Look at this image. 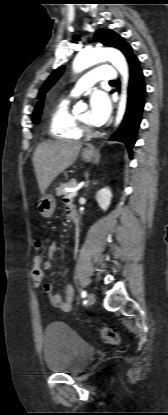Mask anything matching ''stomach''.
Wrapping results in <instances>:
<instances>
[{
  "label": "stomach",
  "instance_id": "0dacf381",
  "mask_svg": "<svg viewBox=\"0 0 168 415\" xmlns=\"http://www.w3.org/2000/svg\"><path fill=\"white\" fill-rule=\"evenodd\" d=\"M98 155V152L93 147L85 148L81 157L85 162L93 161ZM56 202L51 194L44 193L38 202V211L43 217H51L54 213Z\"/></svg>",
  "mask_w": 168,
  "mask_h": 415
}]
</instances>
